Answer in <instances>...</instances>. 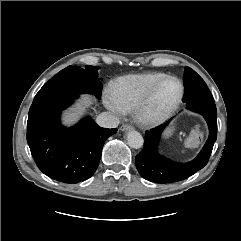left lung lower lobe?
<instances>
[{
    "instance_id": "0a47b994",
    "label": "left lung lower lobe",
    "mask_w": 241,
    "mask_h": 241,
    "mask_svg": "<svg viewBox=\"0 0 241 241\" xmlns=\"http://www.w3.org/2000/svg\"><path fill=\"white\" fill-rule=\"evenodd\" d=\"M191 111L205 118L209 127V137L199 155L187 163H177L158 154L160 135L169 123L147 131L142 151L136 156V167L140 175L155 183H173L184 180L208 162L213 145L217 138V110L214 101H201L187 105Z\"/></svg>"
}]
</instances>
